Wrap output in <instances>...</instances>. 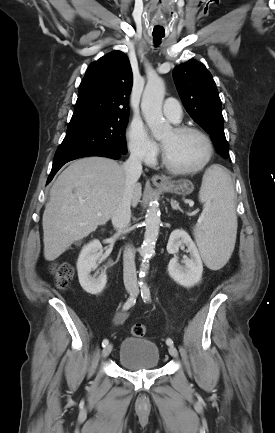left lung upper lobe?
Returning a JSON list of instances; mask_svg holds the SVG:
<instances>
[{
    "instance_id": "1",
    "label": "left lung upper lobe",
    "mask_w": 275,
    "mask_h": 433,
    "mask_svg": "<svg viewBox=\"0 0 275 433\" xmlns=\"http://www.w3.org/2000/svg\"><path fill=\"white\" fill-rule=\"evenodd\" d=\"M173 78L189 115L211 135L217 151L227 155L221 100L210 72L202 63L189 60L174 68Z\"/></svg>"
}]
</instances>
